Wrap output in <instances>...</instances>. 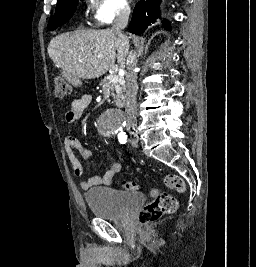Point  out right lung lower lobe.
<instances>
[{
  "label": "right lung lower lobe",
  "instance_id": "1",
  "mask_svg": "<svg viewBox=\"0 0 256 267\" xmlns=\"http://www.w3.org/2000/svg\"><path fill=\"white\" fill-rule=\"evenodd\" d=\"M160 1L144 0L136 4L128 27L131 33L140 35L146 30L148 25L155 22L159 17L158 5ZM163 26L165 29L170 30V24L167 21H163Z\"/></svg>",
  "mask_w": 256,
  "mask_h": 267
}]
</instances>
